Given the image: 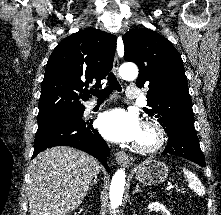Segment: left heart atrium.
Returning a JSON list of instances; mask_svg holds the SVG:
<instances>
[{
    "mask_svg": "<svg viewBox=\"0 0 221 215\" xmlns=\"http://www.w3.org/2000/svg\"><path fill=\"white\" fill-rule=\"evenodd\" d=\"M98 128L106 139L115 142L137 141L142 130L137 115L124 109L103 113L98 119Z\"/></svg>",
    "mask_w": 221,
    "mask_h": 215,
    "instance_id": "1",
    "label": "left heart atrium"
}]
</instances>
